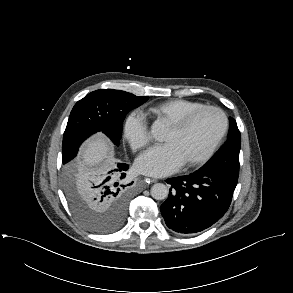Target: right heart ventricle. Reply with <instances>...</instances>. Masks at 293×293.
I'll return each mask as SVG.
<instances>
[{"label":"right heart ventricle","mask_w":293,"mask_h":293,"mask_svg":"<svg viewBox=\"0 0 293 293\" xmlns=\"http://www.w3.org/2000/svg\"><path fill=\"white\" fill-rule=\"evenodd\" d=\"M202 106H205V104L198 101L172 99L149 107L146 113L170 125L189 112Z\"/></svg>","instance_id":"obj_1"}]
</instances>
